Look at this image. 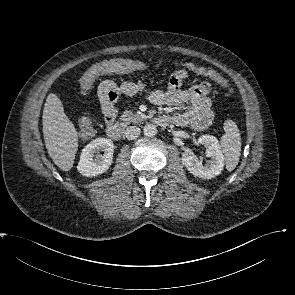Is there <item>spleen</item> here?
<instances>
[{"mask_svg": "<svg viewBox=\"0 0 295 295\" xmlns=\"http://www.w3.org/2000/svg\"><path fill=\"white\" fill-rule=\"evenodd\" d=\"M225 134L221 138V151L226 161V167L229 172L238 165L241 155V138L238 127L233 120L224 122Z\"/></svg>", "mask_w": 295, "mask_h": 295, "instance_id": "1", "label": "spleen"}]
</instances>
